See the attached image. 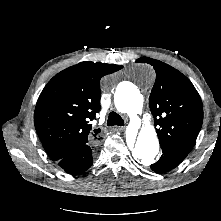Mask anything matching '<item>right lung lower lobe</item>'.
<instances>
[{
  "label": "right lung lower lobe",
  "instance_id": "1",
  "mask_svg": "<svg viewBox=\"0 0 221 221\" xmlns=\"http://www.w3.org/2000/svg\"><path fill=\"white\" fill-rule=\"evenodd\" d=\"M57 162L69 174L75 175L86 171L93 163L91 144L84 145Z\"/></svg>",
  "mask_w": 221,
  "mask_h": 221
}]
</instances>
